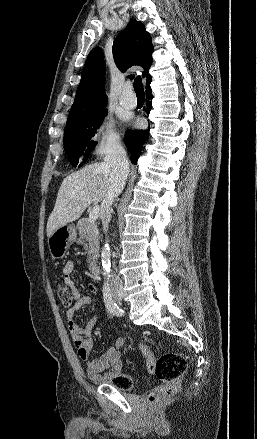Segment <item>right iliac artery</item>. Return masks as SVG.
Instances as JSON below:
<instances>
[{
	"mask_svg": "<svg viewBox=\"0 0 257 439\" xmlns=\"http://www.w3.org/2000/svg\"><path fill=\"white\" fill-rule=\"evenodd\" d=\"M103 298H104L105 306L111 314L116 316H121L123 314V310L120 309L119 306L113 300L110 292V288L108 286L103 287Z\"/></svg>",
	"mask_w": 257,
	"mask_h": 439,
	"instance_id": "82829eb1",
	"label": "right iliac artery"
}]
</instances>
